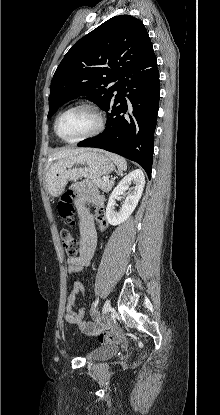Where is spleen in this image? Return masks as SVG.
I'll list each match as a JSON object with an SVG mask.
<instances>
[{
	"label": "spleen",
	"instance_id": "3e777b00",
	"mask_svg": "<svg viewBox=\"0 0 220 415\" xmlns=\"http://www.w3.org/2000/svg\"><path fill=\"white\" fill-rule=\"evenodd\" d=\"M105 155L109 157L117 165L119 169L124 171L127 169V162L123 157L109 152H106Z\"/></svg>",
	"mask_w": 220,
	"mask_h": 415
}]
</instances>
